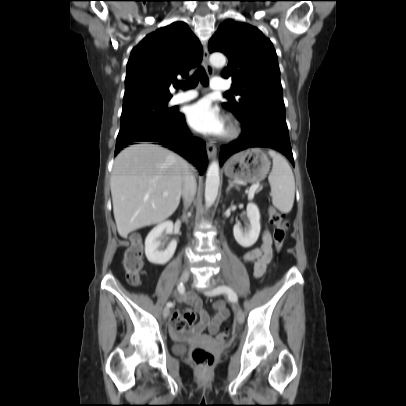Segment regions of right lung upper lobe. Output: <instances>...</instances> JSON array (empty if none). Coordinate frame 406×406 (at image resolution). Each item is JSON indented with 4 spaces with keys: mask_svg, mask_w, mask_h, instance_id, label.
Returning <instances> with one entry per match:
<instances>
[{
    "mask_svg": "<svg viewBox=\"0 0 406 406\" xmlns=\"http://www.w3.org/2000/svg\"><path fill=\"white\" fill-rule=\"evenodd\" d=\"M203 49L184 22H175L147 35L133 48L127 63L123 106L143 100L170 99L177 76L188 77L200 64Z\"/></svg>",
    "mask_w": 406,
    "mask_h": 406,
    "instance_id": "1",
    "label": "right lung upper lobe"
}]
</instances>
